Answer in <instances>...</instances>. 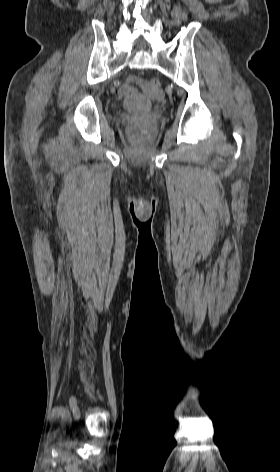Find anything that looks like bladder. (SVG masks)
<instances>
[{
    "label": "bladder",
    "instance_id": "31cf9c89",
    "mask_svg": "<svg viewBox=\"0 0 280 472\" xmlns=\"http://www.w3.org/2000/svg\"><path fill=\"white\" fill-rule=\"evenodd\" d=\"M123 106L134 113L148 112L152 108V102L146 98H131L124 101Z\"/></svg>",
    "mask_w": 280,
    "mask_h": 472
}]
</instances>
